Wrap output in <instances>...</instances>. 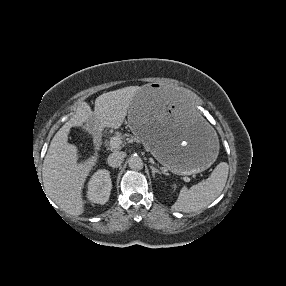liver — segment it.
Wrapping results in <instances>:
<instances>
[{"mask_svg":"<svg viewBox=\"0 0 286 286\" xmlns=\"http://www.w3.org/2000/svg\"><path fill=\"white\" fill-rule=\"evenodd\" d=\"M139 90L138 86H130L100 95L95 100L94 112L88 105L78 109L53 137L43 162V185L46 194L65 212L71 215L84 212L82 189L99 157L95 153L78 163V149L68 142L70 129L83 126L90 119L93 120V133L106 127L120 128Z\"/></svg>","mask_w":286,"mask_h":286,"instance_id":"obj_1","label":"liver"}]
</instances>
